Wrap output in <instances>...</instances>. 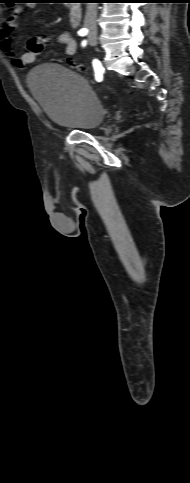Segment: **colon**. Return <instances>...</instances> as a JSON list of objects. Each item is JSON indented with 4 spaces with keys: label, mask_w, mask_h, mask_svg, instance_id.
<instances>
[{
    "label": "colon",
    "mask_w": 190,
    "mask_h": 483,
    "mask_svg": "<svg viewBox=\"0 0 190 483\" xmlns=\"http://www.w3.org/2000/svg\"><path fill=\"white\" fill-rule=\"evenodd\" d=\"M70 64H71V65H72L74 68H76L77 70H80V71H81V70H83V66H82V65H80V64H75V63H74L72 60H70Z\"/></svg>",
    "instance_id": "colon-1"
}]
</instances>
